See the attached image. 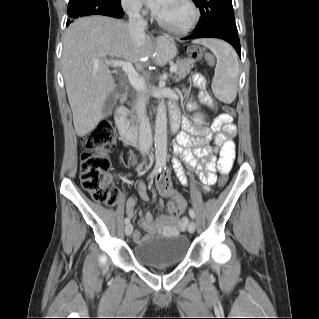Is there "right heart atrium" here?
Segmentation results:
<instances>
[{"mask_svg":"<svg viewBox=\"0 0 319 319\" xmlns=\"http://www.w3.org/2000/svg\"><path fill=\"white\" fill-rule=\"evenodd\" d=\"M123 7L132 14H143L144 9L139 0H121Z\"/></svg>","mask_w":319,"mask_h":319,"instance_id":"d8ad5b80","label":"right heart atrium"}]
</instances>
